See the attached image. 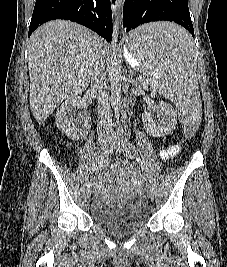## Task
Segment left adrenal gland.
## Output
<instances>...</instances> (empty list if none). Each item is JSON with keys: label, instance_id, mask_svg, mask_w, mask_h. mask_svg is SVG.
<instances>
[{"label": "left adrenal gland", "instance_id": "a2214340", "mask_svg": "<svg viewBox=\"0 0 227 267\" xmlns=\"http://www.w3.org/2000/svg\"><path fill=\"white\" fill-rule=\"evenodd\" d=\"M130 77H131V82L137 84V79L135 78L134 72L132 70H130Z\"/></svg>", "mask_w": 227, "mask_h": 267}]
</instances>
